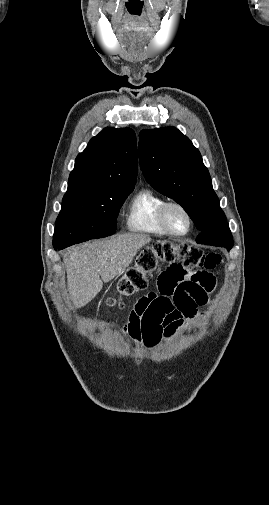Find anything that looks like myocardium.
Masks as SVG:
<instances>
[{"instance_id":"f54148a6","label":"myocardium","mask_w":269,"mask_h":505,"mask_svg":"<svg viewBox=\"0 0 269 505\" xmlns=\"http://www.w3.org/2000/svg\"><path fill=\"white\" fill-rule=\"evenodd\" d=\"M171 207H177L184 212V214L186 215V217L188 219V223H189L187 231H185L183 233H178V232L173 231L170 228V226L167 222V219H166V214H167L168 209ZM158 220H159V223L162 226V228L167 232V234L174 236V237L187 236L191 232L193 225H194V220H193L192 214L189 211V209L185 205H183L182 203L177 202V201L164 202L158 209Z\"/></svg>"}]
</instances>
